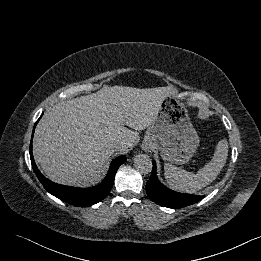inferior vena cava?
<instances>
[{
	"label": "inferior vena cava",
	"mask_w": 261,
	"mask_h": 261,
	"mask_svg": "<svg viewBox=\"0 0 261 261\" xmlns=\"http://www.w3.org/2000/svg\"><path fill=\"white\" fill-rule=\"evenodd\" d=\"M122 146V143L121 142H116L112 145V149L113 150H118L120 149V147Z\"/></svg>",
	"instance_id": "inferior-vena-cava-1"
}]
</instances>
